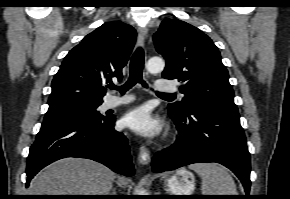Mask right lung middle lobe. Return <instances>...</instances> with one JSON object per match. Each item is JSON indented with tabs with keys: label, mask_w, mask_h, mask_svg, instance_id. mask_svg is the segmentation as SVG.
I'll use <instances>...</instances> for the list:
<instances>
[{
	"label": "right lung middle lobe",
	"mask_w": 290,
	"mask_h": 199,
	"mask_svg": "<svg viewBox=\"0 0 290 199\" xmlns=\"http://www.w3.org/2000/svg\"><path fill=\"white\" fill-rule=\"evenodd\" d=\"M99 105H93L88 107H83L63 113L45 115L43 124L46 123H65V122H78V121H88V120H103L102 116L98 111Z\"/></svg>",
	"instance_id": "1"
}]
</instances>
